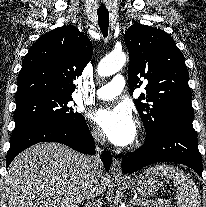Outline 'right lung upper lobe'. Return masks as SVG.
Listing matches in <instances>:
<instances>
[{
	"label": "right lung upper lobe",
	"instance_id": "cb5924a9",
	"mask_svg": "<svg viewBox=\"0 0 206 207\" xmlns=\"http://www.w3.org/2000/svg\"><path fill=\"white\" fill-rule=\"evenodd\" d=\"M92 53L91 41L74 26L44 34L24 57L15 100L37 94L71 96L73 80L82 74Z\"/></svg>",
	"mask_w": 206,
	"mask_h": 207
}]
</instances>
